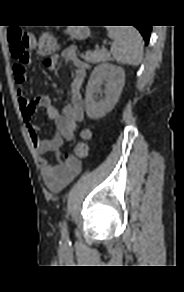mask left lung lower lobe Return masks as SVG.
I'll return each instance as SVG.
<instances>
[{"mask_svg":"<svg viewBox=\"0 0 184 292\" xmlns=\"http://www.w3.org/2000/svg\"><path fill=\"white\" fill-rule=\"evenodd\" d=\"M135 27L140 31L147 45L150 38L151 26L136 25Z\"/></svg>","mask_w":184,"mask_h":292,"instance_id":"obj_1","label":"left lung lower lobe"}]
</instances>
